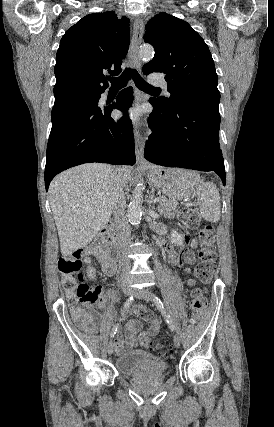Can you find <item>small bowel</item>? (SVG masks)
Listing matches in <instances>:
<instances>
[{"label": "small bowel", "mask_w": 274, "mask_h": 427, "mask_svg": "<svg viewBox=\"0 0 274 427\" xmlns=\"http://www.w3.org/2000/svg\"><path fill=\"white\" fill-rule=\"evenodd\" d=\"M158 226L159 225L156 224L154 229L159 233L160 230ZM193 251L196 252L197 256L202 257H206L208 254L211 257L217 255V251H200L199 245H194ZM193 251L188 250L184 255L171 251L168 259L176 266H180L183 263L193 264L195 262V255ZM93 260L98 262L101 272L105 276H111L114 274L116 270V259L109 251L108 243H95L84 249L83 263L88 266L87 277L90 280H93L97 275V269L91 265ZM210 267L211 264L209 261H198L196 263V268L198 269L196 271V276L201 278V282L203 284H208L210 282V278L213 276V271ZM186 280L187 279L184 275H179L177 277V282L179 284H184ZM95 305L101 309H105L108 306V298L103 294L102 289ZM71 314L74 321L77 322L86 332H94L98 329H104L107 326L103 317L87 305H74L71 309ZM144 320L151 323V327L149 329L141 332V320L134 318L127 321L124 334L118 332L115 335L114 351L117 354H123L136 348L140 343V338L142 337H154L160 333L163 327L160 319L151 314L150 319Z\"/></svg>", "instance_id": "obj_1"}]
</instances>
